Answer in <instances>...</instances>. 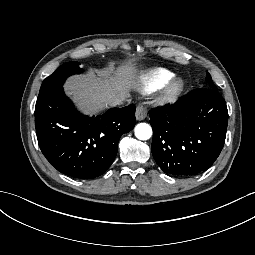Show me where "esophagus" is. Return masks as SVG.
Masks as SVG:
<instances>
[{"label":"esophagus","mask_w":255,"mask_h":255,"mask_svg":"<svg viewBox=\"0 0 255 255\" xmlns=\"http://www.w3.org/2000/svg\"><path fill=\"white\" fill-rule=\"evenodd\" d=\"M147 111L146 108L142 105H139L136 108L135 117L138 121L144 120L146 118Z\"/></svg>","instance_id":"1"}]
</instances>
